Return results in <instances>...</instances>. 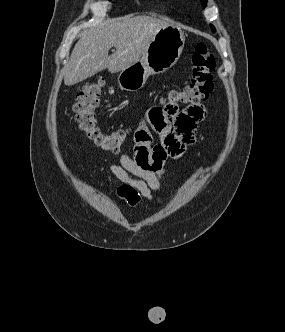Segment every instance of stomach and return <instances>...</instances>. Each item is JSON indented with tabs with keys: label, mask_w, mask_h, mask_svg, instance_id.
Returning <instances> with one entry per match:
<instances>
[{
	"label": "stomach",
	"mask_w": 285,
	"mask_h": 332,
	"mask_svg": "<svg viewBox=\"0 0 285 332\" xmlns=\"http://www.w3.org/2000/svg\"><path fill=\"white\" fill-rule=\"evenodd\" d=\"M184 44L185 35L179 27L171 24L159 30L140 61L120 72V88L126 91L141 89L150 75L164 73L176 64Z\"/></svg>",
	"instance_id": "1"
}]
</instances>
